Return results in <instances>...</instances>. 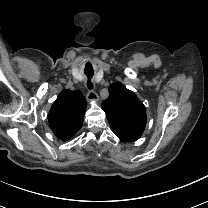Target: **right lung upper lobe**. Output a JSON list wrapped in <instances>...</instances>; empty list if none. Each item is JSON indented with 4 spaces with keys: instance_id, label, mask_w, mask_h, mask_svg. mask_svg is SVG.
Masks as SVG:
<instances>
[{
    "instance_id": "1",
    "label": "right lung upper lobe",
    "mask_w": 208,
    "mask_h": 208,
    "mask_svg": "<svg viewBox=\"0 0 208 208\" xmlns=\"http://www.w3.org/2000/svg\"><path fill=\"white\" fill-rule=\"evenodd\" d=\"M86 107L80 91H61L48 114L53 133L63 141L70 139L81 128Z\"/></svg>"
}]
</instances>
